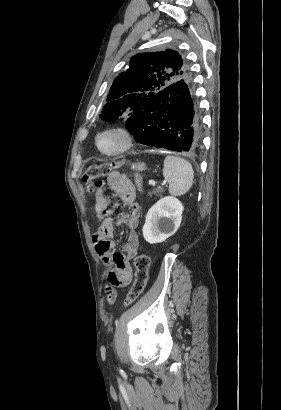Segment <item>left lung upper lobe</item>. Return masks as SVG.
Listing matches in <instances>:
<instances>
[{"mask_svg": "<svg viewBox=\"0 0 281 410\" xmlns=\"http://www.w3.org/2000/svg\"><path fill=\"white\" fill-rule=\"evenodd\" d=\"M182 79H190V71L176 51L133 56L129 69L114 80L99 117L113 122L142 112L152 96Z\"/></svg>", "mask_w": 281, "mask_h": 410, "instance_id": "1", "label": "left lung upper lobe"}]
</instances>
